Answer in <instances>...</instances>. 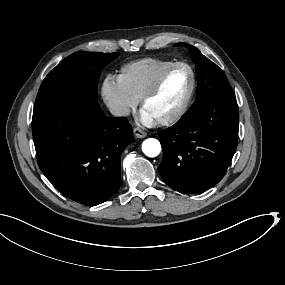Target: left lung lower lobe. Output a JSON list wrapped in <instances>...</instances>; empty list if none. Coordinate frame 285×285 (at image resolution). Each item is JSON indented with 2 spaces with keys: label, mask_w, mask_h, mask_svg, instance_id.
I'll return each instance as SVG.
<instances>
[{
  "label": "left lung lower lobe",
  "mask_w": 285,
  "mask_h": 285,
  "mask_svg": "<svg viewBox=\"0 0 285 285\" xmlns=\"http://www.w3.org/2000/svg\"><path fill=\"white\" fill-rule=\"evenodd\" d=\"M238 126L235 96L215 97L191 106L175 125L159 132L163 181L183 194L217 184L236 151Z\"/></svg>",
  "instance_id": "0a47b994"
}]
</instances>
